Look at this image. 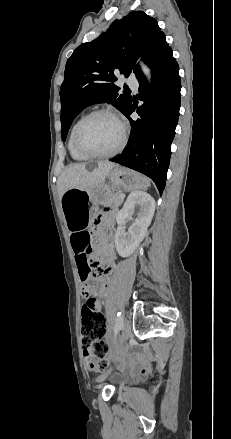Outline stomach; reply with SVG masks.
<instances>
[{"label": "stomach", "mask_w": 231, "mask_h": 439, "mask_svg": "<svg viewBox=\"0 0 231 439\" xmlns=\"http://www.w3.org/2000/svg\"><path fill=\"white\" fill-rule=\"evenodd\" d=\"M149 180L139 173L123 167H114L105 180L90 189L71 188L61 197L60 203L65 223L70 230L86 228L99 204H105L108 194L115 190L145 189Z\"/></svg>", "instance_id": "1"}]
</instances>
